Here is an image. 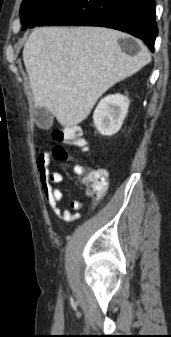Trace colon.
<instances>
[{
	"instance_id": "5ec220e1",
	"label": "colon",
	"mask_w": 171,
	"mask_h": 337,
	"mask_svg": "<svg viewBox=\"0 0 171 337\" xmlns=\"http://www.w3.org/2000/svg\"><path fill=\"white\" fill-rule=\"evenodd\" d=\"M53 140L57 145L53 148V156L60 161H66L68 154L62 145H70L79 148H85L87 142L81 129L75 126L65 129L55 130L52 134ZM82 183L89 187L96 200L102 199L108 188V178L103 171H91L84 173Z\"/></svg>"
}]
</instances>
